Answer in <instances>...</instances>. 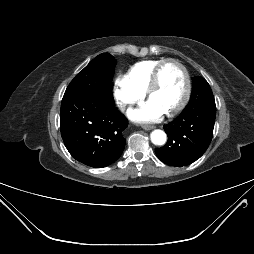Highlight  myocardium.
I'll list each match as a JSON object with an SVG mask.
<instances>
[{
	"instance_id": "1",
	"label": "myocardium",
	"mask_w": 254,
	"mask_h": 254,
	"mask_svg": "<svg viewBox=\"0 0 254 254\" xmlns=\"http://www.w3.org/2000/svg\"><path fill=\"white\" fill-rule=\"evenodd\" d=\"M168 63L176 64L182 71L184 77V92L180 102L170 111L167 112L168 116H174L179 113L187 104L191 94V80L186 66L178 59L166 58L162 60L155 68L150 84L146 90V96L150 98L151 94L157 89L160 82V75L164 66Z\"/></svg>"
}]
</instances>
